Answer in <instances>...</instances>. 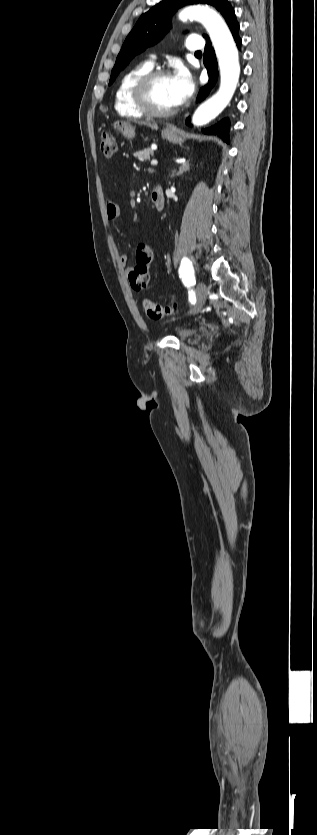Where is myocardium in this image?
Returning <instances> with one entry per match:
<instances>
[{"label":"myocardium","mask_w":317,"mask_h":835,"mask_svg":"<svg viewBox=\"0 0 317 835\" xmlns=\"http://www.w3.org/2000/svg\"><path fill=\"white\" fill-rule=\"evenodd\" d=\"M169 77V73L163 69L150 70L141 76L133 87L132 95L137 107L149 117L164 118L174 115L177 107L162 110L156 107L152 99V90L157 80Z\"/></svg>","instance_id":"myocardium-1"}]
</instances>
